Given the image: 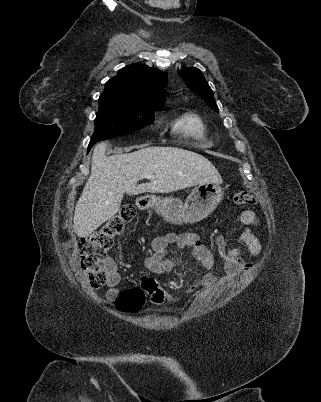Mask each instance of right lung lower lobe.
Instances as JSON below:
<instances>
[{
	"label": "right lung lower lobe",
	"mask_w": 321,
	"mask_h": 402,
	"mask_svg": "<svg viewBox=\"0 0 321 402\" xmlns=\"http://www.w3.org/2000/svg\"><path fill=\"white\" fill-rule=\"evenodd\" d=\"M92 146H93V145L89 144V146H88V151L90 150V148H91Z\"/></svg>",
	"instance_id": "right-lung-lower-lobe-1"
}]
</instances>
